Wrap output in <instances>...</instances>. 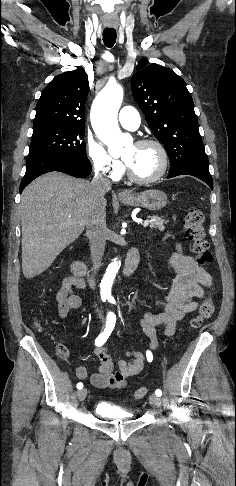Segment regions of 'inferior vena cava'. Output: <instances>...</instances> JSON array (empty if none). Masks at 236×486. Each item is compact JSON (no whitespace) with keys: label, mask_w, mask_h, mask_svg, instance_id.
I'll list each match as a JSON object with an SVG mask.
<instances>
[{"label":"inferior vena cava","mask_w":236,"mask_h":486,"mask_svg":"<svg viewBox=\"0 0 236 486\" xmlns=\"http://www.w3.org/2000/svg\"><path fill=\"white\" fill-rule=\"evenodd\" d=\"M89 187L92 205L86 223V234L90 242L93 263L91 270L96 274L101 266L106 245L107 226L104 195L111 189V181L101 173L95 172V176Z\"/></svg>","instance_id":"1"}]
</instances>
